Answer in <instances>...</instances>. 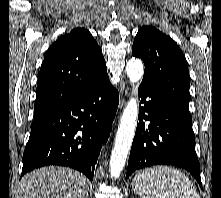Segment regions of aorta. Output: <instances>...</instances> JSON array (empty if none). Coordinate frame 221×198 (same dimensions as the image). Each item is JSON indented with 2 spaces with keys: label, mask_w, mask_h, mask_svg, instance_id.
Returning <instances> with one entry per match:
<instances>
[{
  "label": "aorta",
  "mask_w": 221,
  "mask_h": 198,
  "mask_svg": "<svg viewBox=\"0 0 221 198\" xmlns=\"http://www.w3.org/2000/svg\"><path fill=\"white\" fill-rule=\"evenodd\" d=\"M126 73L135 88L141 81L144 73L141 60L135 58L130 59L126 64ZM137 117L138 99L136 91H134L123 111L116 133L114 148L110 158V174L112 177H118L126 163L135 134Z\"/></svg>",
  "instance_id": "1"
}]
</instances>
